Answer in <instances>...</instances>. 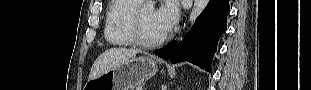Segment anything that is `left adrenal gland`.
Instances as JSON below:
<instances>
[{
  "label": "left adrenal gland",
  "mask_w": 311,
  "mask_h": 90,
  "mask_svg": "<svg viewBox=\"0 0 311 90\" xmlns=\"http://www.w3.org/2000/svg\"><path fill=\"white\" fill-rule=\"evenodd\" d=\"M162 90H166V87L162 85Z\"/></svg>",
  "instance_id": "obj_1"
}]
</instances>
